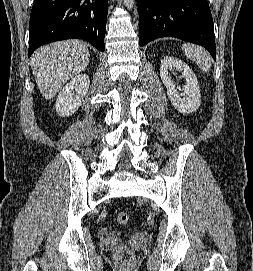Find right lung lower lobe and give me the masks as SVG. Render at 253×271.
Segmentation results:
<instances>
[{"label":"right lung lower lobe","mask_w":253,"mask_h":271,"mask_svg":"<svg viewBox=\"0 0 253 271\" xmlns=\"http://www.w3.org/2000/svg\"><path fill=\"white\" fill-rule=\"evenodd\" d=\"M107 11V0H34L28 57L44 44L73 38L104 51Z\"/></svg>","instance_id":"obj_1"}]
</instances>
